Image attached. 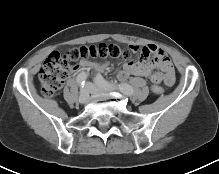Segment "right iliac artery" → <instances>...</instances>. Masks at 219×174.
I'll list each match as a JSON object with an SVG mask.
<instances>
[{
    "mask_svg": "<svg viewBox=\"0 0 219 174\" xmlns=\"http://www.w3.org/2000/svg\"><path fill=\"white\" fill-rule=\"evenodd\" d=\"M86 79H87V74L85 72H82L77 76L76 81L78 85L83 87L85 85Z\"/></svg>",
    "mask_w": 219,
    "mask_h": 174,
    "instance_id": "obj_1",
    "label": "right iliac artery"
}]
</instances>
